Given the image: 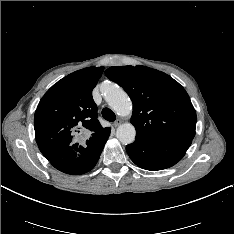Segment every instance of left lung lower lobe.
I'll use <instances>...</instances> for the list:
<instances>
[{
  "mask_svg": "<svg viewBox=\"0 0 234 234\" xmlns=\"http://www.w3.org/2000/svg\"><path fill=\"white\" fill-rule=\"evenodd\" d=\"M192 139L136 138L126 146L131 160L146 170H162L175 165L185 155Z\"/></svg>",
  "mask_w": 234,
  "mask_h": 234,
  "instance_id": "0a47b994",
  "label": "left lung lower lobe"
}]
</instances>
